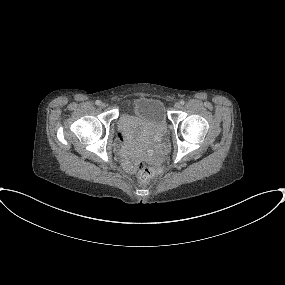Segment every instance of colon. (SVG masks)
Here are the masks:
<instances>
[{
  "instance_id": "obj_1",
  "label": "colon",
  "mask_w": 285,
  "mask_h": 285,
  "mask_svg": "<svg viewBox=\"0 0 285 285\" xmlns=\"http://www.w3.org/2000/svg\"><path fill=\"white\" fill-rule=\"evenodd\" d=\"M148 160L151 166H145L143 163L133 164L132 169L137 171L138 178L141 181L151 180L155 175L157 168L161 165V160L153 153L150 152Z\"/></svg>"
}]
</instances>
